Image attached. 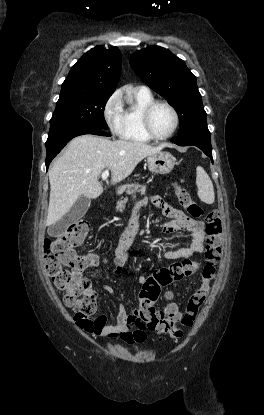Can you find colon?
<instances>
[{"label": "colon", "instance_id": "obj_1", "mask_svg": "<svg viewBox=\"0 0 264 415\" xmlns=\"http://www.w3.org/2000/svg\"><path fill=\"white\" fill-rule=\"evenodd\" d=\"M174 190L181 207L191 217L204 220L206 248L201 284L190 296L183 312L174 302H169L163 310H158L155 303L160 290L172 282L193 275L199 263L193 259H186L156 271L144 283L139 294L140 304L135 322L141 331L168 333L174 338H180L183 332L179 326L189 328L193 325L207 298L211 281L216 275L221 256L222 224L217 210L204 212L193 200L190 192L181 185L176 184ZM89 231V222L80 219L71 224L65 232L60 233L53 242L49 239L44 241L45 269L56 290L63 293L65 306L73 310L74 319L86 329H92L94 326V320L90 316L95 311L98 299L96 290L82 274L85 269L98 262V258L94 254L78 251ZM136 339L140 340L141 337L138 335Z\"/></svg>", "mask_w": 264, "mask_h": 415}]
</instances>
